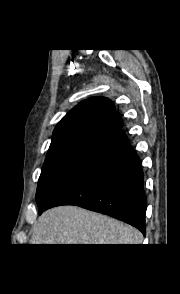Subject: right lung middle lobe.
Instances as JSON below:
<instances>
[{"mask_svg":"<svg viewBox=\"0 0 180 294\" xmlns=\"http://www.w3.org/2000/svg\"><path fill=\"white\" fill-rule=\"evenodd\" d=\"M99 144L93 141H74L49 148L36 193L39 209L69 181Z\"/></svg>","mask_w":180,"mask_h":294,"instance_id":"obj_1","label":"right lung middle lobe"}]
</instances>
